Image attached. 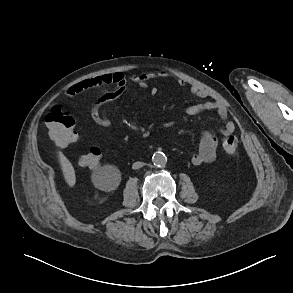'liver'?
I'll use <instances>...</instances> for the list:
<instances>
[{"instance_id": "6515ba94", "label": "liver", "mask_w": 293, "mask_h": 293, "mask_svg": "<svg viewBox=\"0 0 293 293\" xmlns=\"http://www.w3.org/2000/svg\"><path fill=\"white\" fill-rule=\"evenodd\" d=\"M59 161H60L61 169L63 171L66 182L68 183L69 186L71 187L74 186L76 182V176H75V171L72 164L61 152L59 153Z\"/></svg>"}]
</instances>
